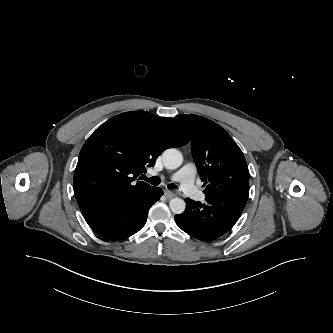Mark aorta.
Wrapping results in <instances>:
<instances>
[{
    "label": "aorta",
    "instance_id": "1",
    "mask_svg": "<svg viewBox=\"0 0 333 333\" xmlns=\"http://www.w3.org/2000/svg\"><path fill=\"white\" fill-rule=\"evenodd\" d=\"M162 160L165 168L177 169L183 162V156L179 150L169 148L163 152ZM169 207L174 214H181L186 208V203L183 199L176 197L170 200Z\"/></svg>",
    "mask_w": 333,
    "mask_h": 333
}]
</instances>
